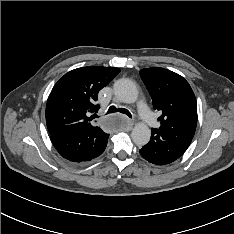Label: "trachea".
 Instances as JSON below:
<instances>
[{
    "label": "trachea",
    "instance_id": "1",
    "mask_svg": "<svg viewBox=\"0 0 234 234\" xmlns=\"http://www.w3.org/2000/svg\"><path fill=\"white\" fill-rule=\"evenodd\" d=\"M117 111L120 112V113H122V114L127 115L130 118H132L131 113L127 109H125V108H116L115 106H111L108 109L107 114L114 113V112H117Z\"/></svg>",
    "mask_w": 234,
    "mask_h": 234
}]
</instances>
